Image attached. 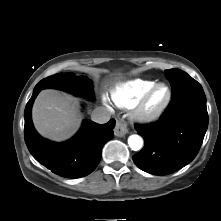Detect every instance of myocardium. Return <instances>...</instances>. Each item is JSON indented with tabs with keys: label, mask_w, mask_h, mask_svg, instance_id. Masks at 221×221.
I'll list each match as a JSON object with an SVG mask.
<instances>
[{
	"label": "myocardium",
	"mask_w": 221,
	"mask_h": 221,
	"mask_svg": "<svg viewBox=\"0 0 221 221\" xmlns=\"http://www.w3.org/2000/svg\"><path fill=\"white\" fill-rule=\"evenodd\" d=\"M159 87L166 88L167 96L164 102L159 107H157L156 109H150L148 107L149 101ZM171 100H172V90L170 86L164 82L155 83L134 106L133 116L137 121L141 123L154 122L164 114V112L167 110L168 106L170 105Z\"/></svg>",
	"instance_id": "myocardium-1"
}]
</instances>
